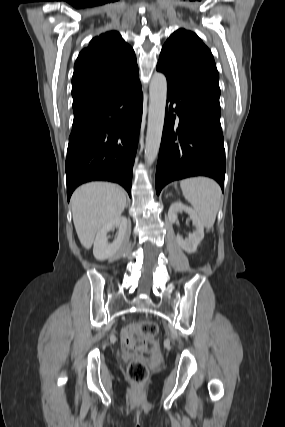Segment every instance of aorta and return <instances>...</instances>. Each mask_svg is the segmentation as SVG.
<instances>
[{
    "label": "aorta",
    "instance_id": "762f6f07",
    "mask_svg": "<svg viewBox=\"0 0 285 427\" xmlns=\"http://www.w3.org/2000/svg\"><path fill=\"white\" fill-rule=\"evenodd\" d=\"M167 80L164 74L155 72L149 86L148 125L145 142V160L148 165L157 158L165 118Z\"/></svg>",
    "mask_w": 285,
    "mask_h": 427
}]
</instances>
